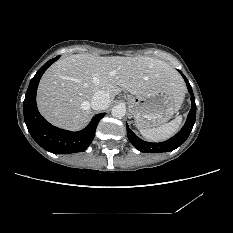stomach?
Listing matches in <instances>:
<instances>
[{
	"label": "stomach",
	"instance_id": "0dacf381",
	"mask_svg": "<svg viewBox=\"0 0 233 233\" xmlns=\"http://www.w3.org/2000/svg\"><path fill=\"white\" fill-rule=\"evenodd\" d=\"M129 112L139 129H150L163 125L178 111L180 104L174 94L166 89L147 95H129Z\"/></svg>",
	"mask_w": 233,
	"mask_h": 233
}]
</instances>
